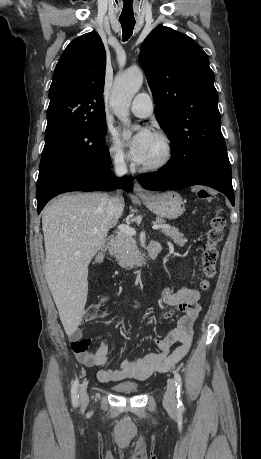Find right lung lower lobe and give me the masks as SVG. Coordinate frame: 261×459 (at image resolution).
I'll return each mask as SVG.
<instances>
[{
	"label": "right lung lower lobe",
	"mask_w": 261,
	"mask_h": 459,
	"mask_svg": "<svg viewBox=\"0 0 261 459\" xmlns=\"http://www.w3.org/2000/svg\"><path fill=\"white\" fill-rule=\"evenodd\" d=\"M109 167L86 166L61 173L36 191L38 214L45 204L58 194L68 191H105L121 187L127 191L132 189V181L128 177L110 180Z\"/></svg>",
	"instance_id": "obj_1"
}]
</instances>
